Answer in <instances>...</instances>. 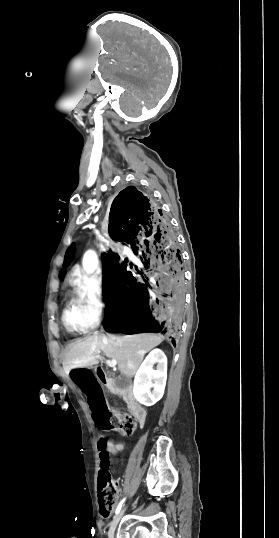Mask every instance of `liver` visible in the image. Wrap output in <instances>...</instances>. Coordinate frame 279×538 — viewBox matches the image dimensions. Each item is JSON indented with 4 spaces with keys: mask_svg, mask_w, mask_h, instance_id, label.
<instances>
[{
    "mask_svg": "<svg viewBox=\"0 0 279 538\" xmlns=\"http://www.w3.org/2000/svg\"><path fill=\"white\" fill-rule=\"evenodd\" d=\"M160 334H135V336H87L82 342H75L69 348L67 370L90 368L98 364L99 352L116 360L118 370L125 376H134L145 354L163 342Z\"/></svg>",
    "mask_w": 279,
    "mask_h": 538,
    "instance_id": "1",
    "label": "liver"
}]
</instances>
